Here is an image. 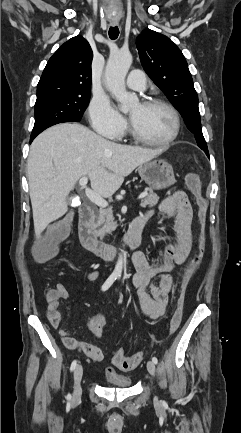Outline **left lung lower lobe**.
I'll list each match as a JSON object with an SVG mask.
<instances>
[{
    "mask_svg": "<svg viewBox=\"0 0 241 433\" xmlns=\"http://www.w3.org/2000/svg\"><path fill=\"white\" fill-rule=\"evenodd\" d=\"M204 152H205V153H206V155H207V156L209 157V153H208V151H207V150H205Z\"/></svg>",
    "mask_w": 241,
    "mask_h": 433,
    "instance_id": "1",
    "label": "left lung lower lobe"
}]
</instances>
